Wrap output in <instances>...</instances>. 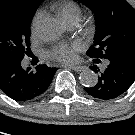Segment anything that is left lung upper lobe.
Masks as SVG:
<instances>
[{
    "label": "left lung upper lobe",
    "mask_w": 135,
    "mask_h": 135,
    "mask_svg": "<svg viewBox=\"0 0 135 135\" xmlns=\"http://www.w3.org/2000/svg\"><path fill=\"white\" fill-rule=\"evenodd\" d=\"M77 1L95 14L96 32L87 51L89 57L135 58V9L126 0Z\"/></svg>",
    "instance_id": "left-lung-upper-lobe-1"
}]
</instances>
